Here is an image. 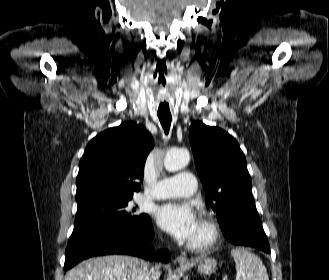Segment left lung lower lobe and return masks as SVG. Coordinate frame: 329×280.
<instances>
[{
    "label": "left lung lower lobe",
    "instance_id": "0a47b994",
    "mask_svg": "<svg viewBox=\"0 0 329 280\" xmlns=\"http://www.w3.org/2000/svg\"><path fill=\"white\" fill-rule=\"evenodd\" d=\"M227 240L235 245L250 246L270 253L266 234L261 226L259 215L253 202L238 219L222 227Z\"/></svg>",
    "mask_w": 329,
    "mask_h": 280
}]
</instances>
